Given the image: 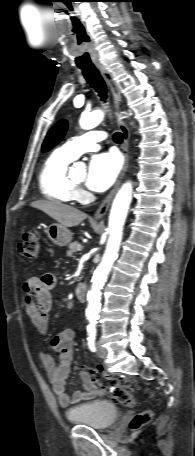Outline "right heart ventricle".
<instances>
[{
  "label": "right heart ventricle",
  "instance_id": "e07e8e85",
  "mask_svg": "<svg viewBox=\"0 0 195 456\" xmlns=\"http://www.w3.org/2000/svg\"><path fill=\"white\" fill-rule=\"evenodd\" d=\"M74 159L60 148L53 151L43 163L39 173V188L43 196L56 202H70L77 197L76 188L67 175Z\"/></svg>",
  "mask_w": 195,
  "mask_h": 456
}]
</instances>
